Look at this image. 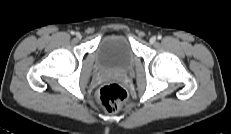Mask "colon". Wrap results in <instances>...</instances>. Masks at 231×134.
<instances>
[{
  "label": "colon",
  "instance_id": "1",
  "mask_svg": "<svg viewBox=\"0 0 231 134\" xmlns=\"http://www.w3.org/2000/svg\"><path fill=\"white\" fill-rule=\"evenodd\" d=\"M126 100L127 94L125 90L116 83L103 86L97 94L98 103L109 113L118 111Z\"/></svg>",
  "mask_w": 231,
  "mask_h": 134
}]
</instances>
